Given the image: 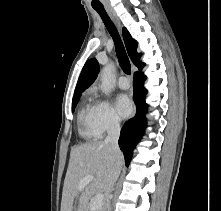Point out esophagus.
<instances>
[{"label":"esophagus","mask_w":221,"mask_h":211,"mask_svg":"<svg viewBox=\"0 0 221 211\" xmlns=\"http://www.w3.org/2000/svg\"><path fill=\"white\" fill-rule=\"evenodd\" d=\"M108 12L111 15L112 19L114 20V22L120 28V22H119L118 18L115 16V14L111 10H108ZM133 114H135V106H134V113Z\"/></svg>","instance_id":"1"}]
</instances>
